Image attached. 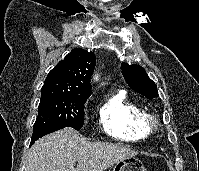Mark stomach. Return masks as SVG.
<instances>
[{
    "label": "stomach",
    "mask_w": 199,
    "mask_h": 171,
    "mask_svg": "<svg viewBox=\"0 0 199 171\" xmlns=\"http://www.w3.org/2000/svg\"><path fill=\"white\" fill-rule=\"evenodd\" d=\"M113 171H146V169L139 159L130 157L117 162Z\"/></svg>",
    "instance_id": "0dacf381"
}]
</instances>
